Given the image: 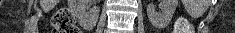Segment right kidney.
I'll list each match as a JSON object with an SVG mask.
<instances>
[{
  "mask_svg": "<svg viewBox=\"0 0 235 33\" xmlns=\"http://www.w3.org/2000/svg\"><path fill=\"white\" fill-rule=\"evenodd\" d=\"M86 0H69V7L72 13L82 21H86L88 18L97 20L99 16L100 9L96 6L90 9L89 12H86Z\"/></svg>",
  "mask_w": 235,
  "mask_h": 33,
  "instance_id": "ca27d5eb",
  "label": "right kidney"
}]
</instances>
